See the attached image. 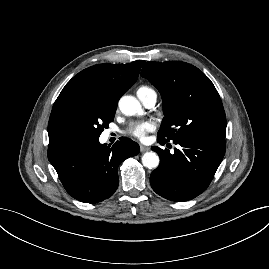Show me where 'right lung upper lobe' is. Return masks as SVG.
<instances>
[{
    "instance_id": "right-lung-upper-lobe-1",
    "label": "right lung upper lobe",
    "mask_w": 269,
    "mask_h": 269,
    "mask_svg": "<svg viewBox=\"0 0 269 269\" xmlns=\"http://www.w3.org/2000/svg\"><path fill=\"white\" fill-rule=\"evenodd\" d=\"M144 61L130 64H99L75 75L56 99L48 123V148L75 142L64 114L68 103L74 99L99 101L115 106L137 80Z\"/></svg>"
}]
</instances>
